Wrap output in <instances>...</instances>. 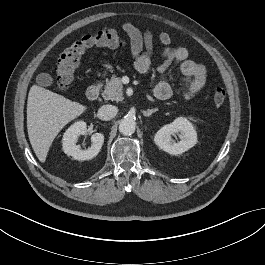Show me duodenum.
Masks as SVG:
<instances>
[{"label":"duodenum","mask_w":265,"mask_h":265,"mask_svg":"<svg viewBox=\"0 0 265 265\" xmlns=\"http://www.w3.org/2000/svg\"><path fill=\"white\" fill-rule=\"evenodd\" d=\"M100 87L101 86L99 83H95V84L90 85L86 91L87 98L89 100L97 99V97L99 96V93H100Z\"/></svg>","instance_id":"obj_1"}]
</instances>
